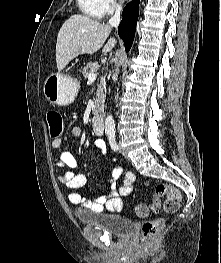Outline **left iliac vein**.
Here are the masks:
<instances>
[{
    "label": "left iliac vein",
    "instance_id": "4c4485c4",
    "mask_svg": "<svg viewBox=\"0 0 221 263\" xmlns=\"http://www.w3.org/2000/svg\"><path fill=\"white\" fill-rule=\"evenodd\" d=\"M119 150H120V152H122V149H121L120 145H119Z\"/></svg>",
    "mask_w": 221,
    "mask_h": 263
}]
</instances>
